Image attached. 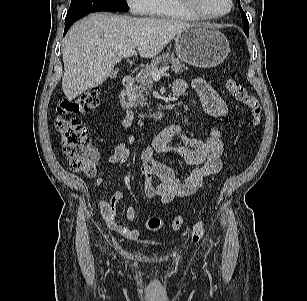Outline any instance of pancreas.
I'll return each mask as SVG.
<instances>
[{"label": "pancreas", "mask_w": 307, "mask_h": 301, "mask_svg": "<svg viewBox=\"0 0 307 301\" xmlns=\"http://www.w3.org/2000/svg\"><path fill=\"white\" fill-rule=\"evenodd\" d=\"M168 64H171V69L174 72H183L187 69V67H185L179 59L175 58L171 52L163 53L159 57L153 59L136 77L137 85L133 89L136 105L141 107L150 105L151 97L149 96V91H151L153 87L151 71Z\"/></svg>", "instance_id": "cf45deb5"}]
</instances>
